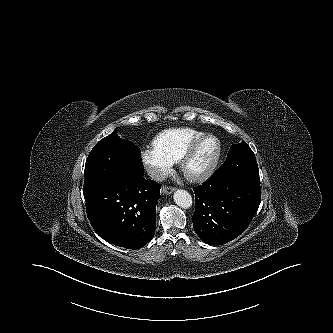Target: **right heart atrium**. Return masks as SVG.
<instances>
[{"label":"right heart atrium","mask_w":333,"mask_h":333,"mask_svg":"<svg viewBox=\"0 0 333 333\" xmlns=\"http://www.w3.org/2000/svg\"><path fill=\"white\" fill-rule=\"evenodd\" d=\"M141 158L150 176L155 180H162L167 176L174 164L169 158L157 153L154 149L144 150Z\"/></svg>","instance_id":"d8ad5b80"}]
</instances>
